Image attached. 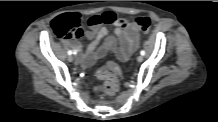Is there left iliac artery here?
<instances>
[{"label": "left iliac artery", "mask_w": 218, "mask_h": 122, "mask_svg": "<svg viewBox=\"0 0 218 122\" xmlns=\"http://www.w3.org/2000/svg\"><path fill=\"white\" fill-rule=\"evenodd\" d=\"M140 54L143 56L145 55V51L144 50H141Z\"/></svg>", "instance_id": "obj_1"}]
</instances>
